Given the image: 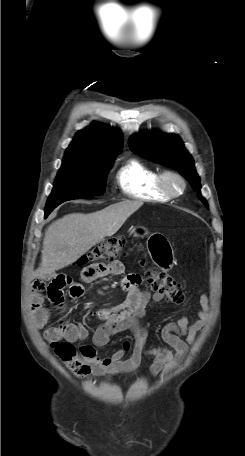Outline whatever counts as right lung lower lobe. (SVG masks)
<instances>
[{
	"label": "right lung lower lobe",
	"mask_w": 245,
	"mask_h": 456,
	"mask_svg": "<svg viewBox=\"0 0 245 456\" xmlns=\"http://www.w3.org/2000/svg\"><path fill=\"white\" fill-rule=\"evenodd\" d=\"M50 213H51V212H49V213H46V214H45V218H46V217H47V216H48Z\"/></svg>",
	"instance_id": "98d812e1"
}]
</instances>
